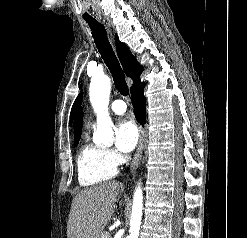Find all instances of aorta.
Wrapping results in <instances>:
<instances>
[{
	"instance_id": "obj_1",
	"label": "aorta",
	"mask_w": 247,
	"mask_h": 238,
	"mask_svg": "<svg viewBox=\"0 0 247 238\" xmlns=\"http://www.w3.org/2000/svg\"><path fill=\"white\" fill-rule=\"evenodd\" d=\"M111 81L108 76L93 77L90 83L89 96L92 107L97 116V128L93 134V141L97 145H111L114 141L113 123L109 116L108 105ZM143 192L138 185L133 196L130 218V234L128 238H138L142 220Z\"/></svg>"
}]
</instances>
